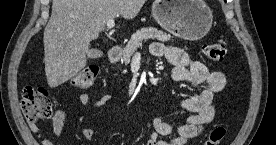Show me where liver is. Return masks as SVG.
<instances>
[{
	"instance_id": "1",
	"label": "liver",
	"mask_w": 276,
	"mask_h": 145,
	"mask_svg": "<svg viewBox=\"0 0 276 145\" xmlns=\"http://www.w3.org/2000/svg\"><path fill=\"white\" fill-rule=\"evenodd\" d=\"M146 0H53L43 42L49 87L65 83L86 66L90 42L110 19L137 16Z\"/></svg>"
}]
</instances>
